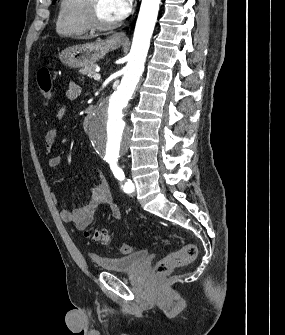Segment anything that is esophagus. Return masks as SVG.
<instances>
[{
	"mask_svg": "<svg viewBox=\"0 0 285 335\" xmlns=\"http://www.w3.org/2000/svg\"><path fill=\"white\" fill-rule=\"evenodd\" d=\"M113 38L117 39V40H125L126 39V33L124 31H120L118 33H115L113 35Z\"/></svg>",
	"mask_w": 285,
	"mask_h": 335,
	"instance_id": "obj_1",
	"label": "esophagus"
}]
</instances>
